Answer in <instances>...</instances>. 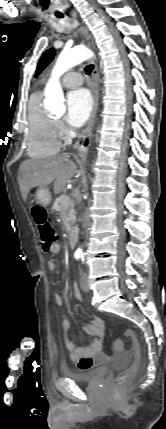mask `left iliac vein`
Segmentation results:
<instances>
[{
  "label": "left iliac vein",
  "instance_id": "4c4485c4",
  "mask_svg": "<svg viewBox=\"0 0 166 429\" xmlns=\"http://www.w3.org/2000/svg\"><path fill=\"white\" fill-rule=\"evenodd\" d=\"M80 286L82 288L83 291L85 292H89L90 291V286L88 283V279L85 275L84 272L81 273V277H80Z\"/></svg>",
  "mask_w": 166,
  "mask_h": 429
}]
</instances>
